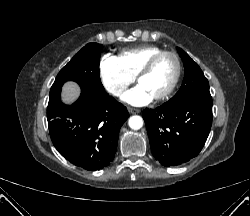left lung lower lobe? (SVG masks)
Wrapping results in <instances>:
<instances>
[{
	"mask_svg": "<svg viewBox=\"0 0 250 216\" xmlns=\"http://www.w3.org/2000/svg\"><path fill=\"white\" fill-rule=\"evenodd\" d=\"M153 156L177 166L199 154L212 125V101L195 98L143 111Z\"/></svg>",
	"mask_w": 250,
	"mask_h": 216,
	"instance_id": "0a47b994",
	"label": "left lung lower lobe"
}]
</instances>
